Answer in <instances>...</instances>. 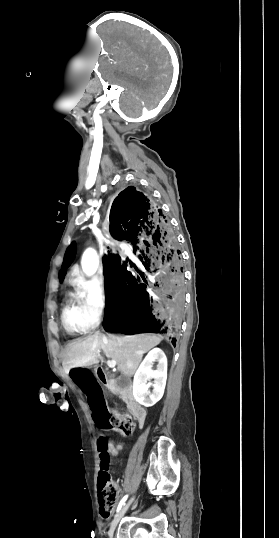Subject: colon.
Here are the masks:
<instances>
[{"label":"colon","instance_id":"1","mask_svg":"<svg viewBox=\"0 0 279 538\" xmlns=\"http://www.w3.org/2000/svg\"><path fill=\"white\" fill-rule=\"evenodd\" d=\"M109 428L123 436H130L134 432L135 424L129 415L117 414L109 419ZM98 450L100 454L98 476L99 511L103 518L108 519L114 512L118 500V489L108 471L111 450L109 443L104 438L98 440Z\"/></svg>","mask_w":279,"mask_h":538}]
</instances>
